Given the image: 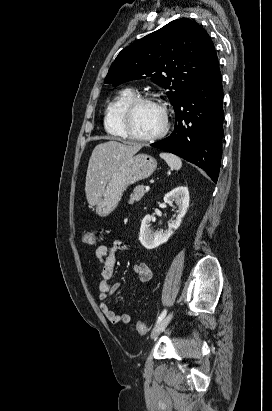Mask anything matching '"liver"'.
<instances>
[{"instance_id":"6515ba94","label":"liver","mask_w":272,"mask_h":411,"mask_svg":"<svg viewBox=\"0 0 272 411\" xmlns=\"http://www.w3.org/2000/svg\"><path fill=\"white\" fill-rule=\"evenodd\" d=\"M142 144L126 145L108 141L95 146L89 159L85 193L91 206L97 205L111 175L116 168L134 156Z\"/></svg>"}]
</instances>
